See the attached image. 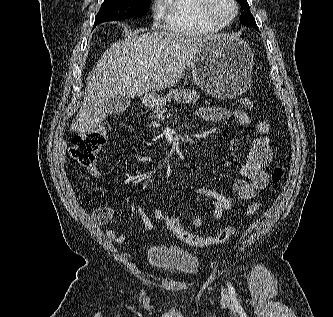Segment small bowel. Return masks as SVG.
<instances>
[{"label":"small bowel","mask_w":333,"mask_h":317,"mask_svg":"<svg viewBox=\"0 0 333 317\" xmlns=\"http://www.w3.org/2000/svg\"><path fill=\"white\" fill-rule=\"evenodd\" d=\"M196 115L203 121H223L233 118L242 125H250L251 119L249 115L241 110H230L219 106H203L196 110ZM256 137L254 138L249 153L245 161L239 166V176L234 180L232 185V194L239 200L253 199L261 190L265 189L269 183V177L266 168L272 161V149L268 132L270 125L267 121L262 120L256 124ZM136 160L140 163H148L151 161L149 155H138ZM231 162L225 163L226 167H231ZM93 177H98L96 168L91 170ZM195 192L212 201V218L219 221L226 211H230L234 207L233 200L217 191L204 187H197ZM140 216L143 227L146 231L154 229L152 217L163 221L165 214L159 209L149 210L147 206L141 205ZM114 211L111 207H100L93 212L92 218L98 226L107 225L113 218ZM204 224V219L200 216L196 217L192 225L194 228H200ZM108 239L116 243H125L128 240L126 234H120L114 229L106 231Z\"/></svg>","instance_id":"small-bowel-1"}]
</instances>
